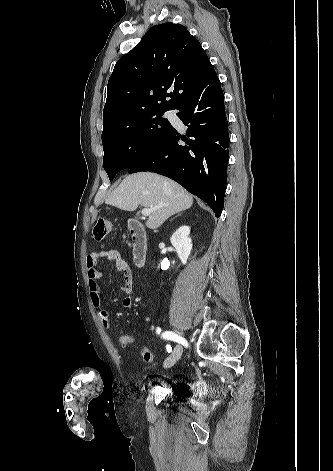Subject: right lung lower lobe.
<instances>
[{"instance_id":"98d812e1","label":"right lung lower lobe","mask_w":333,"mask_h":471,"mask_svg":"<svg viewBox=\"0 0 333 471\" xmlns=\"http://www.w3.org/2000/svg\"><path fill=\"white\" fill-rule=\"evenodd\" d=\"M176 109L191 138L184 139L171 127L129 168V173L150 171L167 176L205 201L219 217L227 185L230 140L224 95L217 75L196 87Z\"/></svg>"}]
</instances>
